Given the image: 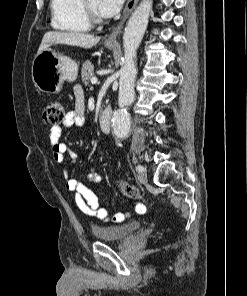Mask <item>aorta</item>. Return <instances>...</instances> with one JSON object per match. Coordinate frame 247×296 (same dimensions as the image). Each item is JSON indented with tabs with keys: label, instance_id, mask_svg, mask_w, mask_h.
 <instances>
[{
	"label": "aorta",
	"instance_id": "aorta-1",
	"mask_svg": "<svg viewBox=\"0 0 247 296\" xmlns=\"http://www.w3.org/2000/svg\"><path fill=\"white\" fill-rule=\"evenodd\" d=\"M152 0H142L132 13L123 36L124 65L119 78V109L113 114V131L117 137L128 135L131 126L127 107L134 101V82L136 75L135 59L137 49L146 31Z\"/></svg>",
	"mask_w": 247,
	"mask_h": 296
}]
</instances>
